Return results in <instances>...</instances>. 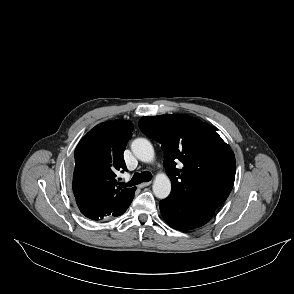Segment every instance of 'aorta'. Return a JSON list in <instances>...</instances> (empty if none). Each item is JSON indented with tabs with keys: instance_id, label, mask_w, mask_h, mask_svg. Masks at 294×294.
<instances>
[{
	"instance_id": "aorta-1",
	"label": "aorta",
	"mask_w": 294,
	"mask_h": 294,
	"mask_svg": "<svg viewBox=\"0 0 294 294\" xmlns=\"http://www.w3.org/2000/svg\"><path fill=\"white\" fill-rule=\"evenodd\" d=\"M134 155L142 162L150 163L154 160L152 144L145 138H137L131 144ZM171 192V182L166 174H158L153 183V193L159 199H165Z\"/></svg>"
}]
</instances>
